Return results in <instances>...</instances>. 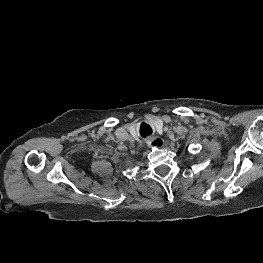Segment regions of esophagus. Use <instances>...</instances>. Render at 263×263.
<instances>
[{
  "label": "esophagus",
  "instance_id": "obj_1",
  "mask_svg": "<svg viewBox=\"0 0 263 263\" xmlns=\"http://www.w3.org/2000/svg\"><path fill=\"white\" fill-rule=\"evenodd\" d=\"M163 144H164V140L161 137L149 138L147 140V145L149 147H162Z\"/></svg>",
  "mask_w": 263,
  "mask_h": 263
}]
</instances>
